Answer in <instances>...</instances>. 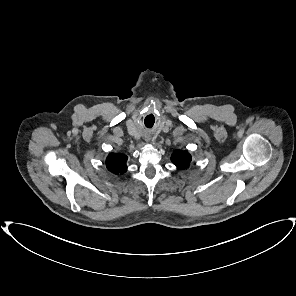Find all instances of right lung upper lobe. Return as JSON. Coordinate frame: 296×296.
Masks as SVG:
<instances>
[{
  "mask_svg": "<svg viewBox=\"0 0 296 296\" xmlns=\"http://www.w3.org/2000/svg\"><path fill=\"white\" fill-rule=\"evenodd\" d=\"M126 160L127 156L112 153L106 160V166L109 171L122 174L127 170Z\"/></svg>",
  "mask_w": 296,
  "mask_h": 296,
  "instance_id": "cb5924a9",
  "label": "right lung upper lobe"
}]
</instances>
